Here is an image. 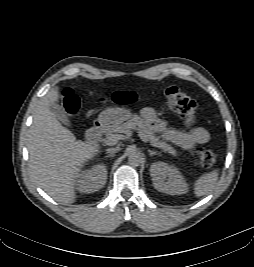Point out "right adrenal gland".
Listing matches in <instances>:
<instances>
[{
  "instance_id": "1",
  "label": "right adrenal gland",
  "mask_w": 254,
  "mask_h": 267,
  "mask_svg": "<svg viewBox=\"0 0 254 267\" xmlns=\"http://www.w3.org/2000/svg\"><path fill=\"white\" fill-rule=\"evenodd\" d=\"M114 154H108L106 157H114Z\"/></svg>"
}]
</instances>
